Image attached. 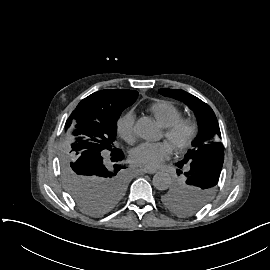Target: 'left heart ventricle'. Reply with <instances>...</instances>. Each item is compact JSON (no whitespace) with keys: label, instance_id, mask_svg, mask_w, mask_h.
Segmentation results:
<instances>
[{"label":"left heart ventricle","instance_id":"obj_1","mask_svg":"<svg viewBox=\"0 0 270 270\" xmlns=\"http://www.w3.org/2000/svg\"><path fill=\"white\" fill-rule=\"evenodd\" d=\"M185 134H186L185 128H183L182 131H181V137L184 138V137H185ZM164 136H165V133H164V131H163V137H164Z\"/></svg>","mask_w":270,"mask_h":270}]
</instances>
